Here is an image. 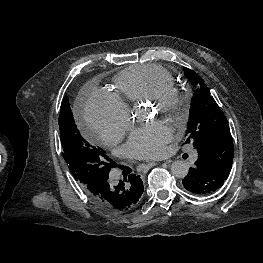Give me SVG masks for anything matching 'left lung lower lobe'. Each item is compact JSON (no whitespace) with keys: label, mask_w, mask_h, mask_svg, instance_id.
Instances as JSON below:
<instances>
[{"label":"left lung lower lobe","mask_w":263,"mask_h":263,"mask_svg":"<svg viewBox=\"0 0 263 263\" xmlns=\"http://www.w3.org/2000/svg\"><path fill=\"white\" fill-rule=\"evenodd\" d=\"M198 160L183 179L185 189L195 195L218 190L231 171L234 148L231 134L219 135L197 148Z\"/></svg>","instance_id":"1"}]
</instances>
